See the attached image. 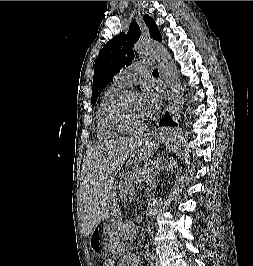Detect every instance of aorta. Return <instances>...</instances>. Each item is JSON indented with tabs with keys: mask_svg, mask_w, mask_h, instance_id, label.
<instances>
[{
	"mask_svg": "<svg viewBox=\"0 0 253 266\" xmlns=\"http://www.w3.org/2000/svg\"><path fill=\"white\" fill-rule=\"evenodd\" d=\"M138 55H150L158 61L159 74L164 84L169 88L168 108L171 118L178 123L183 113V90L177 67L170 58L167 49L155 41H138L134 45Z\"/></svg>",
	"mask_w": 253,
	"mask_h": 266,
	"instance_id": "1",
	"label": "aorta"
}]
</instances>
